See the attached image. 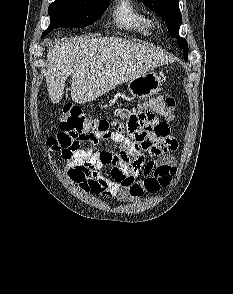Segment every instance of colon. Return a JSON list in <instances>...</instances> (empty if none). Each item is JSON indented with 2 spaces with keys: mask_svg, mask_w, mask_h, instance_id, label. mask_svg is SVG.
Segmentation results:
<instances>
[{
  "mask_svg": "<svg viewBox=\"0 0 233 294\" xmlns=\"http://www.w3.org/2000/svg\"><path fill=\"white\" fill-rule=\"evenodd\" d=\"M140 110H161V117L172 120L175 117L176 100L171 95L161 96L157 100L149 102L144 106L133 107ZM123 114L117 112L116 117L111 119H92L77 106L65 105L59 117V132L51 141V151L58 153L65 161L78 156L80 151V141L96 143L114 132L122 133L126 128L121 129L111 126V121L127 120L123 119Z\"/></svg>",
  "mask_w": 233,
  "mask_h": 294,
  "instance_id": "colon-1",
  "label": "colon"
}]
</instances>
